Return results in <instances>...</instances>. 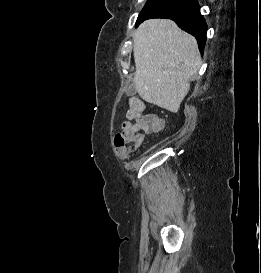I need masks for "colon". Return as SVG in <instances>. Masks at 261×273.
Segmentation results:
<instances>
[{
    "instance_id": "colon-1",
    "label": "colon",
    "mask_w": 261,
    "mask_h": 273,
    "mask_svg": "<svg viewBox=\"0 0 261 273\" xmlns=\"http://www.w3.org/2000/svg\"><path fill=\"white\" fill-rule=\"evenodd\" d=\"M129 106L134 115L140 116L145 114V107L141 100L132 97L129 100ZM144 140L143 134L134 130H122L114 136V146L117 155L120 158H125L128 154L140 148Z\"/></svg>"
}]
</instances>
